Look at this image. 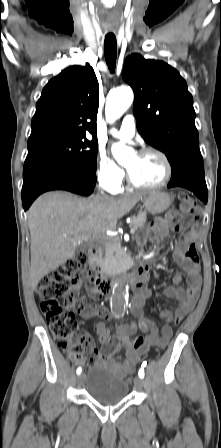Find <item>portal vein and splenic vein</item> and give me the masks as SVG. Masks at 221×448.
I'll return each instance as SVG.
<instances>
[{
    "mask_svg": "<svg viewBox=\"0 0 221 448\" xmlns=\"http://www.w3.org/2000/svg\"><path fill=\"white\" fill-rule=\"evenodd\" d=\"M135 229L133 228V227H131V229H130V234H134L135 233ZM98 239V237L97 236H95V235H92V234H89V235H87L86 237H85V240H87V241H89V242H92V241H96Z\"/></svg>",
    "mask_w": 221,
    "mask_h": 448,
    "instance_id": "obj_1",
    "label": "portal vein and splenic vein"
}]
</instances>
